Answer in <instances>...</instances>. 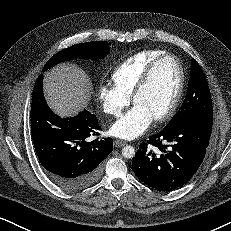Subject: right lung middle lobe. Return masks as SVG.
Returning <instances> with one entry per match:
<instances>
[{"mask_svg":"<svg viewBox=\"0 0 231 231\" xmlns=\"http://www.w3.org/2000/svg\"><path fill=\"white\" fill-rule=\"evenodd\" d=\"M110 52L106 41H93L76 44L55 54L45 64L43 71H46L54 65L71 60L73 58H82L98 61L103 59Z\"/></svg>","mask_w":231,"mask_h":231,"instance_id":"1","label":"right lung middle lobe"}]
</instances>
